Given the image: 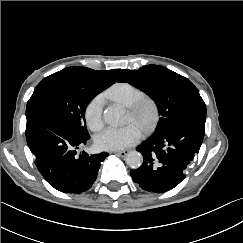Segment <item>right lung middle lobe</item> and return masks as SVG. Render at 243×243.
Returning a JSON list of instances; mask_svg holds the SVG:
<instances>
[{
    "label": "right lung middle lobe",
    "instance_id": "dd1d6c3e",
    "mask_svg": "<svg viewBox=\"0 0 243 243\" xmlns=\"http://www.w3.org/2000/svg\"><path fill=\"white\" fill-rule=\"evenodd\" d=\"M106 87L77 84L72 74L63 70L44 78L35 88L26 112L44 109L63 117L79 134L87 135L85 110L89 102Z\"/></svg>",
    "mask_w": 243,
    "mask_h": 243
}]
</instances>
